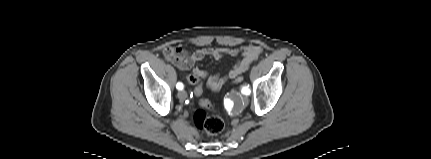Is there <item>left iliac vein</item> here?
<instances>
[{"label": "left iliac vein", "instance_id": "obj_1", "mask_svg": "<svg viewBox=\"0 0 431 159\" xmlns=\"http://www.w3.org/2000/svg\"><path fill=\"white\" fill-rule=\"evenodd\" d=\"M242 101H243V104H247L248 103V98L247 97H243Z\"/></svg>", "mask_w": 431, "mask_h": 159}]
</instances>
